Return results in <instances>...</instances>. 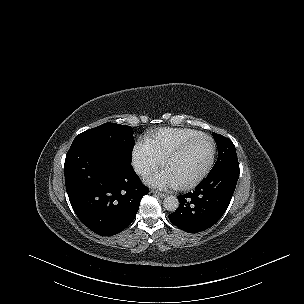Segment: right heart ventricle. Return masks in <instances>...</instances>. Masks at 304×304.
Wrapping results in <instances>:
<instances>
[{"label":"right heart ventricle","mask_w":304,"mask_h":304,"mask_svg":"<svg viewBox=\"0 0 304 304\" xmlns=\"http://www.w3.org/2000/svg\"><path fill=\"white\" fill-rule=\"evenodd\" d=\"M198 135L200 132L191 128L165 127L153 131L147 140V145L159 160H163L179 145Z\"/></svg>","instance_id":"e07e8e85"}]
</instances>
